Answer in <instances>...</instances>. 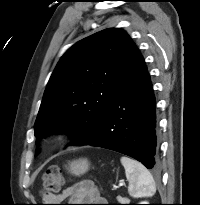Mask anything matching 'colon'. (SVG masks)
I'll return each instance as SVG.
<instances>
[{
	"instance_id": "5ec220e1",
	"label": "colon",
	"mask_w": 200,
	"mask_h": 205,
	"mask_svg": "<svg viewBox=\"0 0 200 205\" xmlns=\"http://www.w3.org/2000/svg\"><path fill=\"white\" fill-rule=\"evenodd\" d=\"M64 184V178L59 166H51L42 177L41 193L44 197L56 195Z\"/></svg>"
}]
</instances>
